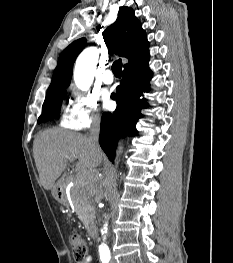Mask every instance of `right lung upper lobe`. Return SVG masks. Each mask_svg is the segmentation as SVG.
Returning <instances> with one entry per match:
<instances>
[{"label":"right lung upper lobe","instance_id":"right-lung-upper-lobe-1","mask_svg":"<svg viewBox=\"0 0 233 263\" xmlns=\"http://www.w3.org/2000/svg\"><path fill=\"white\" fill-rule=\"evenodd\" d=\"M103 36L110 53L128 59V63L124 65V68L149 59V43L145 32L135 17L134 11L129 7L120 8L117 20L104 31ZM85 46L86 39L81 38L72 42L63 50L58 59L47 94L68 87L75 59Z\"/></svg>","mask_w":233,"mask_h":263}]
</instances>
